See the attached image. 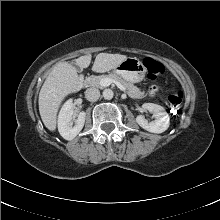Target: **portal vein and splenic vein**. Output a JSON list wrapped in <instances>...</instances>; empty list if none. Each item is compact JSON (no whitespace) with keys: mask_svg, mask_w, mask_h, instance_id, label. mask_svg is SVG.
<instances>
[{"mask_svg":"<svg viewBox=\"0 0 220 220\" xmlns=\"http://www.w3.org/2000/svg\"><path fill=\"white\" fill-rule=\"evenodd\" d=\"M112 83H114L121 91H125L126 90L123 85H121L119 82L114 81L112 79L103 78V79L100 80V85L103 86V87H107V86H109Z\"/></svg>","mask_w":220,"mask_h":220,"instance_id":"1","label":"portal vein and splenic vein"}]
</instances>
